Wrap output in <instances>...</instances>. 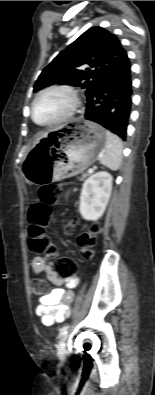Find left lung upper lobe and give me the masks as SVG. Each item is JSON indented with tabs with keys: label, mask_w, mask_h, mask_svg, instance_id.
Wrapping results in <instances>:
<instances>
[{
	"label": "left lung upper lobe",
	"mask_w": 155,
	"mask_h": 395,
	"mask_svg": "<svg viewBox=\"0 0 155 395\" xmlns=\"http://www.w3.org/2000/svg\"><path fill=\"white\" fill-rule=\"evenodd\" d=\"M127 56L118 38L101 27L84 32L43 69L34 92L54 83L85 89L92 94L103 76Z\"/></svg>",
	"instance_id": "1"
}]
</instances>
